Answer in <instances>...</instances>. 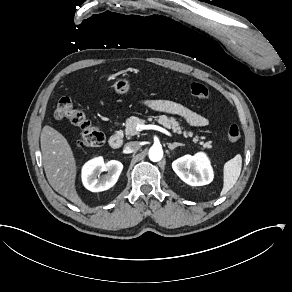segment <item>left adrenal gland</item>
<instances>
[{
    "label": "left adrenal gland",
    "mask_w": 292,
    "mask_h": 292,
    "mask_svg": "<svg viewBox=\"0 0 292 292\" xmlns=\"http://www.w3.org/2000/svg\"><path fill=\"white\" fill-rule=\"evenodd\" d=\"M167 145H168V148L170 149V150H173V149H175L176 147H178V146H185V144H183V143H178V142H174V143H167Z\"/></svg>",
    "instance_id": "obj_1"
}]
</instances>
